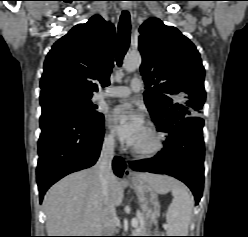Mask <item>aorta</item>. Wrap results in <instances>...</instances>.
<instances>
[{"instance_id": "762f6f07", "label": "aorta", "mask_w": 248, "mask_h": 237, "mask_svg": "<svg viewBox=\"0 0 248 237\" xmlns=\"http://www.w3.org/2000/svg\"><path fill=\"white\" fill-rule=\"evenodd\" d=\"M142 58L139 53H128L123 62V66L126 71L133 72L141 65Z\"/></svg>"}]
</instances>
